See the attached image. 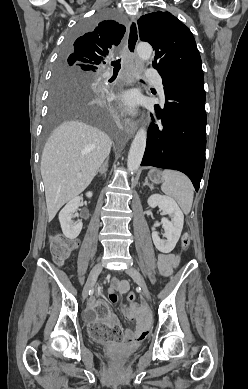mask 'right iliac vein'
<instances>
[{"instance_id":"63e3f726","label":"right iliac vein","mask_w":248,"mask_h":389,"mask_svg":"<svg viewBox=\"0 0 248 389\" xmlns=\"http://www.w3.org/2000/svg\"><path fill=\"white\" fill-rule=\"evenodd\" d=\"M103 269V264L102 263H98L97 265L94 266V268L91 270L90 274H89V277L87 279V282H86V285L83 289V299L85 300L87 298V295H88V292L89 290L91 289V287L94 285L97 277L99 276V274L101 273Z\"/></svg>"}]
</instances>
